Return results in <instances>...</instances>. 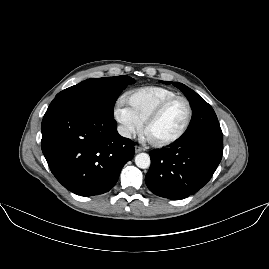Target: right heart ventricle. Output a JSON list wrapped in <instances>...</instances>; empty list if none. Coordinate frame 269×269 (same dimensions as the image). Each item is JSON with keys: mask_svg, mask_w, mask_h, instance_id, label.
Masks as SVG:
<instances>
[{"mask_svg": "<svg viewBox=\"0 0 269 269\" xmlns=\"http://www.w3.org/2000/svg\"><path fill=\"white\" fill-rule=\"evenodd\" d=\"M177 93L163 87H147L128 94L129 109L141 125H144L148 115L168 99L176 97Z\"/></svg>", "mask_w": 269, "mask_h": 269, "instance_id": "right-heart-ventricle-1", "label": "right heart ventricle"}]
</instances>
